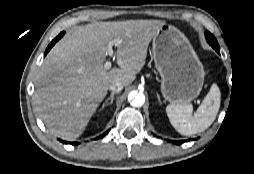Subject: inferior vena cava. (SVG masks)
I'll return each mask as SVG.
<instances>
[{
    "instance_id": "obj_1",
    "label": "inferior vena cava",
    "mask_w": 254,
    "mask_h": 174,
    "mask_svg": "<svg viewBox=\"0 0 254 174\" xmlns=\"http://www.w3.org/2000/svg\"><path fill=\"white\" fill-rule=\"evenodd\" d=\"M123 89V84L119 81H115L109 86V90L112 92H120Z\"/></svg>"
}]
</instances>
